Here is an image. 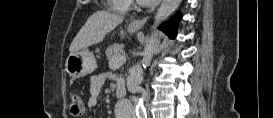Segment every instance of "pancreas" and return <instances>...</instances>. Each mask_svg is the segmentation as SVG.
Listing matches in <instances>:
<instances>
[{
	"mask_svg": "<svg viewBox=\"0 0 273 118\" xmlns=\"http://www.w3.org/2000/svg\"><path fill=\"white\" fill-rule=\"evenodd\" d=\"M105 53L108 59H112L114 56L122 54V46L120 44H113L107 48Z\"/></svg>",
	"mask_w": 273,
	"mask_h": 118,
	"instance_id": "cf45deb5",
	"label": "pancreas"
}]
</instances>
